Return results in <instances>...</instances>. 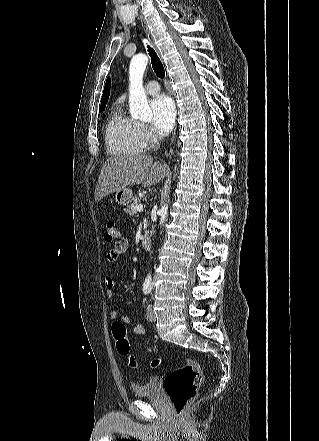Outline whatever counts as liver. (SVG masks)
<instances>
[{"mask_svg":"<svg viewBox=\"0 0 319 441\" xmlns=\"http://www.w3.org/2000/svg\"><path fill=\"white\" fill-rule=\"evenodd\" d=\"M165 163L154 162L147 155H124L109 157L101 171L95 189V200L115 193L129 185L149 187L159 183L167 174Z\"/></svg>","mask_w":319,"mask_h":441,"instance_id":"obj_1","label":"liver"}]
</instances>
